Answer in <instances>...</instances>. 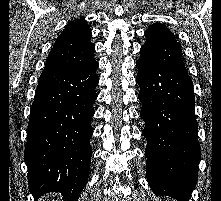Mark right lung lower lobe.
<instances>
[{
	"label": "right lung lower lobe",
	"mask_w": 221,
	"mask_h": 201,
	"mask_svg": "<svg viewBox=\"0 0 221 201\" xmlns=\"http://www.w3.org/2000/svg\"><path fill=\"white\" fill-rule=\"evenodd\" d=\"M98 63L80 70L44 69L31 107L24 161L35 199L59 192L76 200L89 175Z\"/></svg>",
	"instance_id": "1"
}]
</instances>
